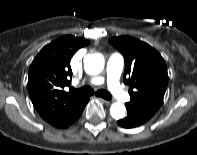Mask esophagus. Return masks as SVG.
Wrapping results in <instances>:
<instances>
[{
	"instance_id": "obj_1",
	"label": "esophagus",
	"mask_w": 197,
	"mask_h": 155,
	"mask_svg": "<svg viewBox=\"0 0 197 155\" xmlns=\"http://www.w3.org/2000/svg\"><path fill=\"white\" fill-rule=\"evenodd\" d=\"M100 101L103 102V103H105V104H110V101L105 100V99H103V98H100Z\"/></svg>"
}]
</instances>
